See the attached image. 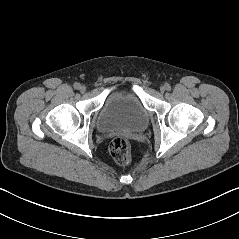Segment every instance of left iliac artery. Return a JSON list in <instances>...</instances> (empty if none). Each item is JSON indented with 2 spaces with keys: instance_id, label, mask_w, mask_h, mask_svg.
<instances>
[{
  "instance_id": "1",
  "label": "left iliac artery",
  "mask_w": 239,
  "mask_h": 239,
  "mask_svg": "<svg viewBox=\"0 0 239 239\" xmlns=\"http://www.w3.org/2000/svg\"><path fill=\"white\" fill-rule=\"evenodd\" d=\"M165 87H166V90L167 91H170L171 90V86L167 83V84H165Z\"/></svg>"
}]
</instances>
